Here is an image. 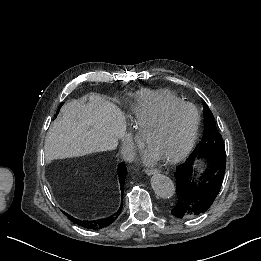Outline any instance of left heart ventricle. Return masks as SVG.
Here are the masks:
<instances>
[{
    "label": "left heart ventricle",
    "instance_id": "b2bd125f",
    "mask_svg": "<svg viewBox=\"0 0 261 261\" xmlns=\"http://www.w3.org/2000/svg\"><path fill=\"white\" fill-rule=\"evenodd\" d=\"M192 123L189 110L174 109L143 129L144 145L156 157L173 154L185 143Z\"/></svg>",
    "mask_w": 261,
    "mask_h": 261
}]
</instances>
